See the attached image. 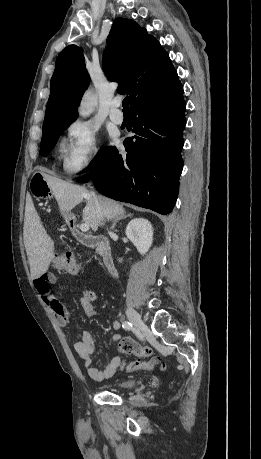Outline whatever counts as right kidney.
Segmentation results:
<instances>
[{"instance_id":"1","label":"right kidney","mask_w":261,"mask_h":459,"mask_svg":"<svg viewBox=\"0 0 261 459\" xmlns=\"http://www.w3.org/2000/svg\"><path fill=\"white\" fill-rule=\"evenodd\" d=\"M125 233L141 255L148 252L153 242V228L148 220L144 218L131 220L126 227ZM121 260L119 259V262Z\"/></svg>"}]
</instances>
